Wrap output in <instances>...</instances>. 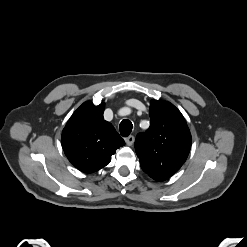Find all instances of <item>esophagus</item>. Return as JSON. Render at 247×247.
Segmentation results:
<instances>
[{
	"label": "esophagus",
	"instance_id": "34e87169",
	"mask_svg": "<svg viewBox=\"0 0 247 247\" xmlns=\"http://www.w3.org/2000/svg\"><path fill=\"white\" fill-rule=\"evenodd\" d=\"M134 141H135V138L132 135L125 138V142L128 146H132Z\"/></svg>",
	"mask_w": 247,
	"mask_h": 247
}]
</instances>
